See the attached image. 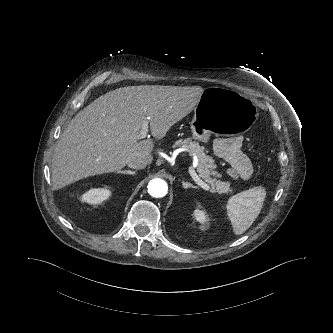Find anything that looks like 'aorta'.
I'll return each mask as SVG.
<instances>
[{
	"mask_svg": "<svg viewBox=\"0 0 333 333\" xmlns=\"http://www.w3.org/2000/svg\"><path fill=\"white\" fill-rule=\"evenodd\" d=\"M147 188L148 193L154 198H162L168 192V185L166 181L160 178L152 179Z\"/></svg>",
	"mask_w": 333,
	"mask_h": 333,
	"instance_id": "obj_1",
	"label": "aorta"
}]
</instances>
